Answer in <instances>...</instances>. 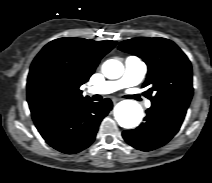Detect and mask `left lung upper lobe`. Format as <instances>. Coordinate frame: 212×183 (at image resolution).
<instances>
[{
	"instance_id": "5c2ea615",
	"label": "left lung upper lobe",
	"mask_w": 212,
	"mask_h": 183,
	"mask_svg": "<svg viewBox=\"0 0 212 183\" xmlns=\"http://www.w3.org/2000/svg\"><path fill=\"white\" fill-rule=\"evenodd\" d=\"M119 49L147 64L143 87H147L145 96L152 103L188 108L193 95L191 63L174 42L159 37L133 38L122 41Z\"/></svg>"
}]
</instances>
